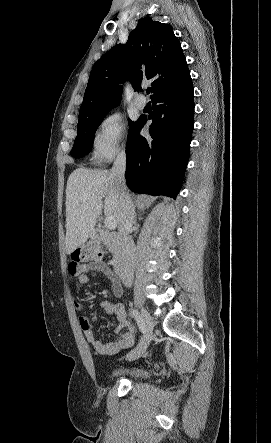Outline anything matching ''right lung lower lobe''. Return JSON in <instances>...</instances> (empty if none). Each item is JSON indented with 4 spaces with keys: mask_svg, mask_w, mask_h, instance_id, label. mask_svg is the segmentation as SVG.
<instances>
[{
    "mask_svg": "<svg viewBox=\"0 0 271 443\" xmlns=\"http://www.w3.org/2000/svg\"><path fill=\"white\" fill-rule=\"evenodd\" d=\"M193 98V84L189 78L152 98L151 138L146 139L139 133L147 118L140 117L130 127L125 178L132 191L176 198L190 151Z\"/></svg>",
    "mask_w": 271,
    "mask_h": 443,
    "instance_id": "98d812e1",
    "label": "right lung lower lobe"
}]
</instances>
